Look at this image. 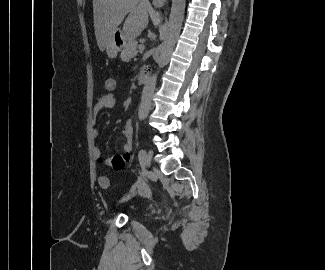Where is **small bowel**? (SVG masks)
<instances>
[{
  "label": "small bowel",
  "mask_w": 325,
  "mask_h": 270,
  "mask_svg": "<svg viewBox=\"0 0 325 270\" xmlns=\"http://www.w3.org/2000/svg\"><path fill=\"white\" fill-rule=\"evenodd\" d=\"M117 105V97L114 93H106L95 100L93 106V128H92V137L97 139L99 137V130L95 127L96 116L103 109H113ZM125 142L123 144V155H114L110 159L106 160V164L109 165L114 170H121L127 161L131 159V152L133 149V125L132 121L128 120L122 130ZM92 155L95 159L101 157V150L98 146H94L92 150Z\"/></svg>",
  "instance_id": "obj_1"
}]
</instances>
